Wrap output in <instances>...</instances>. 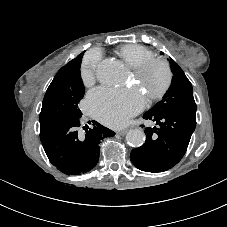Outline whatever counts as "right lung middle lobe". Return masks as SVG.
<instances>
[{
	"mask_svg": "<svg viewBox=\"0 0 227 227\" xmlns=\"http://www.w3.org/2000/svg\"><path fill=\"white\" fill-rule=\"evenodd\" d=\"M81 58L75 64L60 69L49 85L39 115L40 130L55 122H76L82 116L78 108V103L84 96L80 76Z\"/></svg>",
	"mask_w": 227,
	"mask_h": 227,
	"instance_id": "1",
	"label": "right lung middle lobe"
}]
</instances>
